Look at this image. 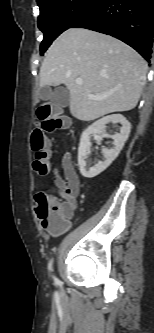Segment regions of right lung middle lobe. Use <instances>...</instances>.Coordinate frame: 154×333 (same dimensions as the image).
Instances as JSON below:
<instances>
[{
	"label": "right lung middle lobe",
	"instance_id": "1",
	"mask_svg": "<svg viewBox=\"0 0 154 333\" xmlns=\"http://www.w3.org/2000/svg\"><path fill=\"white\" fill-rule=\"evenodd\" d=\"M101 0H39L38 27L44 33L40 46L43 55L63 31L90 13Z\"/></svg>",
	"mask_w": 154,
	"mask_h": 333
}]
</instances>
